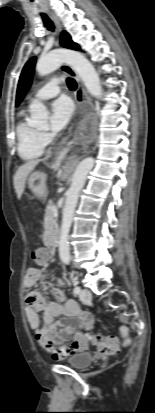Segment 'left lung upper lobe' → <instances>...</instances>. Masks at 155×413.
<instances>
[{"label": "left lung upper lobe", "mask_w": 155, "mask_h": 413, "mask_svg": "<svg viewBox=\"0 0 155 413\" xmlns=\"http://www.w3.org/2000/svg\"><path fill=\"white\" fill-rule=\"evenodd\" d=\"M61 45L66 48L80 50V47L72 41L70 35L65 31L61 33ZM35 61V57L31 58L23 68L17 88L16 106L20 104L31 85Z\"/></svg>", "instance_id": "1"}]
</instances>
